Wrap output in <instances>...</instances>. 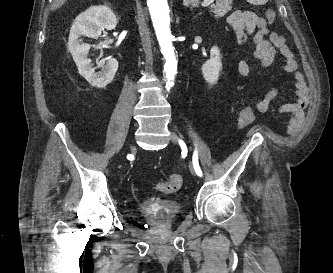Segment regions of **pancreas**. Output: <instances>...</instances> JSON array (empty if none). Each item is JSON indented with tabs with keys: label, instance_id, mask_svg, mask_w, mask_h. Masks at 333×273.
<instances>
[{
	"label": "pancreas",
	"instance_id": "cf45deb5",
	"mask_svg": "<svg viewBox=\"0 0 333 273\" xmlns=\"http://www.w3.org/2000/svg\"><path fill=\"white\" fill-rule=\"evenodd\" d=\"M232 0H217L216 4L211 5V12L215 14V18L223 17L232 9Z\"/></svg>",
	"mask_w": 333,
	"mask_h": 273
}]
</instances>
